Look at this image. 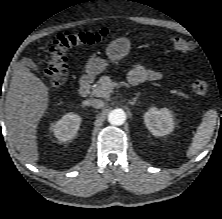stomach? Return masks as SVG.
<instances>
[{"instance_id": "1", "label": "stomach", "mask_w": 222, "mask_h": 219, "mask_svg": "<svg viewBox=\"0 0 222 219\" xmlns=\"http://www.w3.org/2000/svg\"><path fill=\"white\" fill-rule=\"evenodd\" d=\"M131 50V42L128 38L122 36L113 40L106 49V54L113 62L124 59ZM108 63L101 58H92L86 65V72L89 76H95L102 73Z\"/></svg>"}]
</instances>
